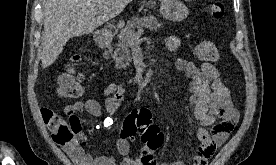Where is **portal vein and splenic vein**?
Segmentation results:
<instances>
[{"label":"portal vein and splenic vein","mask_w":276,"mask_h":165,"mask_svg":"<svg viewBox=\"0 0 276 165\" xmlns=\"http://www.w3.org/2000/svg\"><path fill=\"white\" fill-rule=\"evenodd\" d=\"M96 14H98V13H96ZM141 34H143V30H142V29L138 30V32L135 33V34L132 36V40L134 41V40L138 39V38L140 37Z\"/></svg>","instance_id":"obj_1"}]
</instances>
